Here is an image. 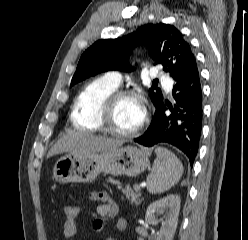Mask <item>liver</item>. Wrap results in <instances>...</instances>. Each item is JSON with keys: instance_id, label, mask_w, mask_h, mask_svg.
Masks as SVG:
<instances>
[{"instance_id": "liver-1", "label": "liver", "mask_w": 248, "mask_h": 240, "mask_svg": "<svg viewBox=\"0 0 248 240\" xmlns=\"http://www.w3.org/2000/svg\"><path fill=\"white\" fill-rule=\"evenodd\" d=\"M122 140L93 136L85 133H70L60 138L48 152V157L64 152L73 154L98 153L120 147Z\"/></svg>"}]
</instances>
